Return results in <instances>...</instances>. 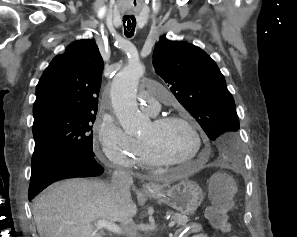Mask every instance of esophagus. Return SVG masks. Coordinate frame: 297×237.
Instances as JSON below:
<instances>
[{"label": "esophagus", "mask_w": 297, "mask_h": 237, "mask_svg": "<svg viewBox=\"0 0 297 237\" xmlns=\"http://www.w3.org/2000/svg\"><path fill=\"white\" fill-rule=\"evenodd\" d=\"M142 189L144 191H152V190H156V186L153 183L145 182L142 185Z\"/></svg>", "instance_id": "esophagus-1"}]
</instances>
